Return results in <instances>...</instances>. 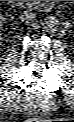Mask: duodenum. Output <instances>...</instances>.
Listing matches in <instances>:
<instances>
[{"label":"duodenum","mask_w":74,"mask_h":122,"mask_svg":"<svg viewBox=\"0 0 74 122\" xmlns=\"http://www.w3.org/2000/svg\"><path fill=\"white\" fill-rule=\"evenodd\" d=\"M21 7L31 9L33 7V1H17ZM50 1H39L40 8L46 10Z\"/></svg>","instance_id":"410a0bca"}]
</instances>
